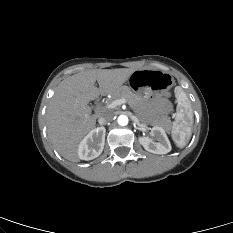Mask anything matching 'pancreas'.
I'll return each instance as SVG.
<instances>
[{"instance_id": "cf45deb5", "label": "pancreas", "mask_w": 233, "mask_h": 233, "mask_svg": "<svg viewBox=\"0 0 233 233\" xmlns=\"http://www.w3.org/2000/svg\"><path fill=\"white\" fill-rule=\"evenodd\" d=\"M117 99H125L134 110H136L137 106L141 102V97L132 92L128 86H123L117 93L112 94L111 101ZM156 124L162 123L156 122Z\"/></svg>"}]
</instances>
